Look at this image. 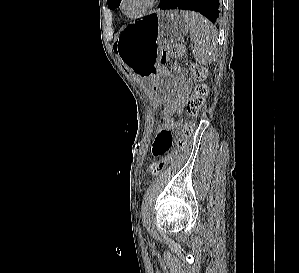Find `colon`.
<instances>
[{"mask_svg":"<svg viewBox=\"0 0 299 273\" xmlns=\"http://www.w3.org/2000/svg\"><path fill=\"white\" fill-rule=\"evenodd\" d=\"M183 51L180 44H168L162 47L161 63L166 64L171 58L179 56ZM177 88L173 97L165 105L162 116L164 123L170 124L173 122L174 116L181 110L183 105H186L188 114L191 117H196L202 108L208 93L207 86L202 83L205 72L201 66L193 65L191 72L198 84L190 91L189 83L182 72L176 68ZM195 128L194 121L186 122L182 127L181 136L176 140L174 149L164 156L161 160L153 162L149 167V172L152 176H157L162 173L168 165L175 161L181 151L185 148L188 139L192 136Z\"/></svg>","mask_w":299,"mask_h":273,"instance_id":"5ec220e1","label":"colon"}]
</instances>
